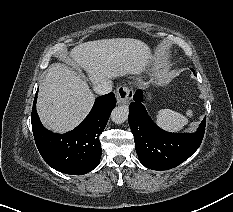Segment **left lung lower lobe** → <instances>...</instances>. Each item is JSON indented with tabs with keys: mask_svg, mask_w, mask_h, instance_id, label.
I'll return each mask as SVG.
<instances>
[{
	"mask_svg": "<svg viewBox=\"0 0 233 212\" xmlns=\"http://www.w3.org/2000/svg\"><path fill=\"white\" fill-rule=\"evenodd\" d=\"M194 71V70H193ZM128 122L134 135L140 162L153 170L174 168L188 159L200 146L206 119L195 133H170L159 128L142 105V90L133 96Z\"/></svg>",
	"mask_w": 233,
	"mask_h": 212,
	"instance_id": "obj_1",
	"label": "left lung lower lobe"
}]
</instances>
